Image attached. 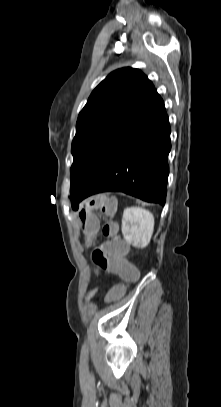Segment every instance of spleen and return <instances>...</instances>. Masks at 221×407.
<instances>
[{
  "label": "spleen",
  "mask_w": 221,
  "mask_h": 407,
  "mask_svg": "<svg viewBox=\"0 0 221 407\" xmlns=\"http://www.w3.org/2000/svg\"><path fill=\"white\" fill-rule=\"evenodd\" d=\"M153 214L141 207H129L123 212L122 234L124 239L134 247L149 244L154 231Z\"/></svg>",
  "instance_id": "1"
}]
</instances>
